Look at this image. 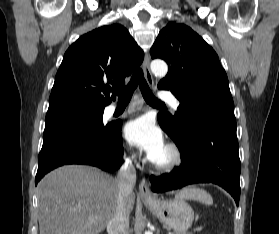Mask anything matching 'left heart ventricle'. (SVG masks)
I'll return each instance as SVG.
<instances>
[{"label": "left heart ventricle", "mask_w": 279, "mask_h": 234, "mask_svg": "<svg viewBox=\"0 0 279 234\" xmlns=\"http://www.w3.org/2000/svg\"><path fill=\"white\" fill-rule=\"evenodd\" d=\"M167 157V152L166 150H164L156 159L155 161H163L165 160Z\"/></svg>", "instance_id": "1"}]
</instances>
